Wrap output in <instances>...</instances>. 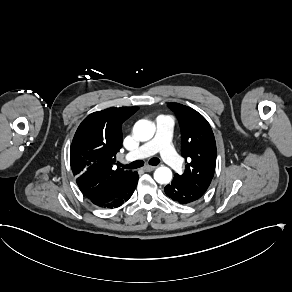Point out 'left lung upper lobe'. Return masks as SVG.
<instances>
[{
	"label": "left lung upper lobe",
	"instance_id": "left-lung-upper-lobe-1",
	"mask_svg": "<svg viewBox=\"0 0 292 292\" xmlns=\"http://www.w3.org/2000/svg\"><path fill=\"white\" fill-rule=\"evenodd\" d=\"M176 115L181 129V153L187 163L182 175L174 180L203 193L215 172L216 142L208 121L196 110L179 104L167 105Z\"/></svg>",
	"mask_w": 292,
	"mask_h": 292
}]
</instances>
